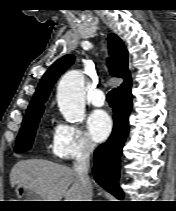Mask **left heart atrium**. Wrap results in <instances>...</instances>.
<instances>
[{
    "instance_id": "39dd6f15",
    "label": "left heart atrium",
    "mask_w": 176,
    "mask_h": 211,
    "mask_svg": "<svg viewBox=\"0 0 176 211\" xmlns=\"http://www.w3.org/2000/svg\"><path fill=\"white\" fill-rule=\"evenodd\" d=\"M87 128L93 140L101 142L109 136L112 121L105 111L96 110L87 118Z\"/></svg>"
}]
</instances>
